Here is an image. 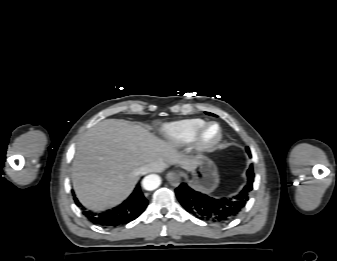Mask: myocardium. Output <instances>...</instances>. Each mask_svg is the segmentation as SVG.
I'll return each mask as SVG.
<instances>
[{"label":"myocardium","mask_w":337,"mask_h":261,"mask_svg":"<svg viewBox=\"0 0 337 261\" xmlns=\"http://www.w3.org/2000/svg\"><path fill=\"white\" fill-rule=\"evenodd\" d=\"M211 127H216L217 135L213 140L207 142L205 141V133ZM222 138H223V132H222L221 126L218 123L209 122V123L204 124L201 127V129L197 132V134L195 135L192 141V147L197 153H200V154L210 153L217 148V146L222 141Z\"/></svg>","instance_id":"1"}]
</instances>
